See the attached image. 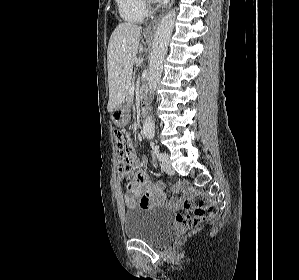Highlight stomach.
Instances as JSON below:
<instances>
[{
	"label": "stomach",
	"instance_id": "stomach-1",
	"mask_svg": "<svg viewBox=\"0 0 299 280\" xmlns=\"http://www.w3.org/2000/svg\"><path fill=\"white\" fill-rule=\"evenodd\" d=\"M130 104L123 101L117 108L112 112V121L118 127H124L129 123Z\"/></svg>",
	"mask_w": 299,
	"mask_h": 280
}]
</instances>
